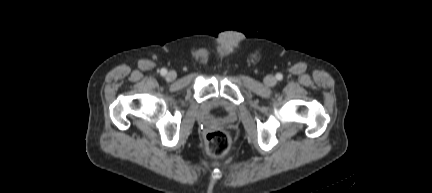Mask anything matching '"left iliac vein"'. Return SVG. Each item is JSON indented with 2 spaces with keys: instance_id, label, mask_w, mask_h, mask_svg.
Returning a JSON list of instances; mask_svg holds the SVG:
<instances>
[{
  "instance_id": "1",
  "label": "left iliac vein",
  "mask_w": 432,
  "mask_h": 193,
  "mask_svg": "<svg viewBox=\"0 0 432 193\" xmlns=\"http://www.w3.org/2000/svg\"><path fill=\"white\" fill-rule=\"evenodd\" d=\"M264 82L267 86H274L276 84V78L272 75L265 77Z\"/></svg>"
}]
</instances>
